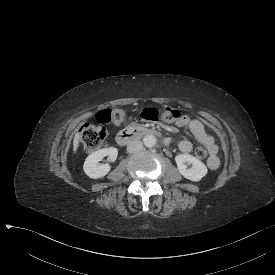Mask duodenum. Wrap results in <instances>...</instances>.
Segmentation results:
<instances>
[{
	"label": "duodenum",
	"instance_id": "obj_1",
	"mask_svg": "<svg viewBox=\"0 0 275 275\" xmlns=\"http://www.w3.org/2000/svg\"><path fill=\"white\" fill-rule=\"evenodd\" d=\"M149 135H159V132L153 128L147 127L128 128L120 131L115 139L119 145L124 146Z\"/></svg>",
	"mask_w": 275,
	"mask_h": 275
}]
</instances>
